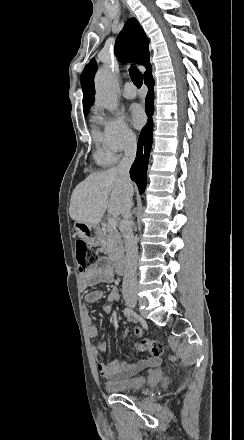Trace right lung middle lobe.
Returning <instances> with one entry per match:
<instances>
[{
  "mask_svg": "<svg viewBox=\"0 0 244 440\" xmlns=\"http://www.w3.org/2000/svg\"><path fill=\"white\" fill-rule=\"evenodd\" d=\"M88 113V111L84 112V114L86 115Z\"/></svg>",
  "mask_w": 244,
  "mask_h": 440,
  "instance_id": "right-lung-middle-lobe-1",
  "label": "right lung middle lobe"
}]
</instances>
